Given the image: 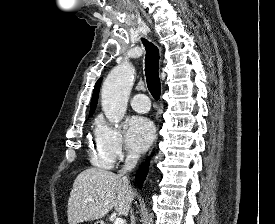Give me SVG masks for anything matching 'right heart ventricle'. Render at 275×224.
Wrapping results in <instances>:
<instances>
[{
  "label": "right heart ventricle",
  "mask_w": 275,
  "mask_h": 224,
  "mask_svg": "<svg viewBox=\"0 0 275 224\" xmlns=\"http://www.w3.org/2000/svg\"><path fill=\"white\" fill-rule=\"evenodd\" d=\"M96 129L94 131V139H91L89 143V154L91 162L93 163V165L100 168H111L114 161L99 145L96 135Z\"/></svg>",
  "instance_id": "e07e8e85"
}]
</instances>
